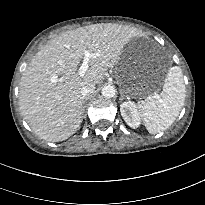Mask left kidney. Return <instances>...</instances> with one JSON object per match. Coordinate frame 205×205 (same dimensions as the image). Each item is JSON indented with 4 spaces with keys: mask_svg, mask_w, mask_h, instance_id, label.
<instances>
[{
    "mask_svg": "<svg viewBox=\"0 0 205 205\" xmlns=\"http://www.w3.org/2000/svg\"><path fill=\"white\" fill-rule=\"evenodd\" d=\"M120 112L125 122L131 128H137L140 125V115L134 102L126 101L120 105Z\"/></svg>",
    "mask_w": 205,
    "mask_h": 205,
    "instance_id": "5707ae66",
    "label": "left kidney"
}]
</instances>
